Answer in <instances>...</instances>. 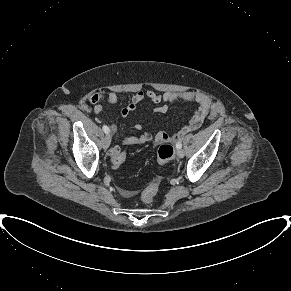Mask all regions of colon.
Returning <instances> with one entry per match:
<instances>
[{"label": "colon", "instance_id": "1", "mask_svg": "<svg viewBox=\"0 0 291 291\" xmlns=\"http://www.w3.org/2000/svg\"><path fill=\"white\" fill-rule=\"evenodd\" d=\"M174 156V147L170 143H163L158 150V162L163 165L168 163ZM126 160V153L122 150H112L110 152V164L113 168H119ZM159 191V184H150L141 194L144 204H151Z\"/></svg>", "mask_w": 291, "mask_h": 291}]
</instances>
